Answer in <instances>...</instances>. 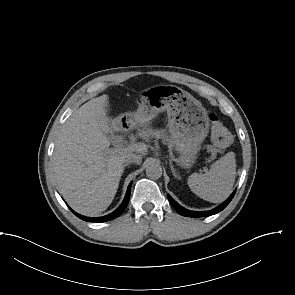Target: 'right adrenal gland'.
<instances>
[{"instance_id": "right-adrenal-gland-1", "label": "right adrenal gland", "mask_w": 295, "mask_h": 295, "mask_svg": "<svg viewBox=\"0 0 295 295\" xmlns=\"http://www.w3.org/2000/svg\"><path fill=\"white\" fill-rule=\"evenodd\" d=\"M126 166H128V164H124V165H123V167H126Z\"/></svg>"}]
</instances>
